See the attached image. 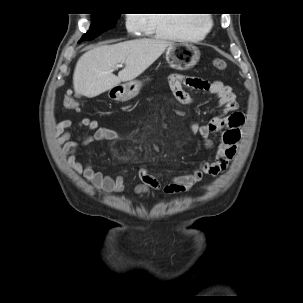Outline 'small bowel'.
<instances>
[{
  "label": "small bowel",
  "instance_id": "obj_1",
  "mask_svg": "<svg viewBox=\"0 0 303 303\" xmlns=\"http://www.w3.org/2000/svg\"><path fill=\"white\" fill-rule=\"evenodd\" d=\"M169 85L176 100L182 105H191L195 99L184 89L189 87L195 90H203L212 94L222 107L220 113L205 123H192L189 130L193 134L202 137L206 148L214 147L212 134L223 131L222 137L215 146L214 157L203 161L199 168L189 173L179 174L172 178L169 184H162L159 179L151 175L147 170H139L141 183L136 187L137 194H146L151 190H161L167 194H181L190 190L199 182L203 175L218 176L233 159L237 144L241 138V126L243 117L237 113L239 106L236 95L230 86L220 81L208 82L190 75L174 73L169 76ZM230 113V117L225 115ZM85 127L93 134L82 143L71 140L72 133L68 130L72 126ZM55 143L61 149L62 155L67 158L69 166L78 174H81L97 190L106 193H120L124 190L123 176L110 175L96 171L90 164L84 165L77 156L80 146L90 142H116L120 135L112 129L103 127L97 120L82 118L77 123L70 119L61 121L54 130Z\"/></svg>",
  "mask_w": 303,
  "mask_h": 303
}]
</instances>
